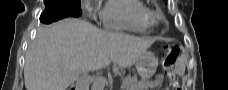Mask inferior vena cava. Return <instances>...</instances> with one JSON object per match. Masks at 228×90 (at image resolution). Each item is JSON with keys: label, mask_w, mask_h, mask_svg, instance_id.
Masks as SVG:
<instances>
[{"label": "inferior vena cava", "mask_w": 228, "mask_h": 90, "mask_svg": "<svg viewBox=\"0 0 228 90\" xmlns=\"http://www.w3.org/2000/svg\"><path fill=\"white\" fill-rule=\"evenodd\" d=\"M77 90H89V81H87L85 78H80L77 81L76 84Z\"/></svg>", "instance_id": "1"}]
</instances>
